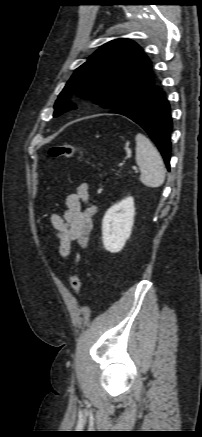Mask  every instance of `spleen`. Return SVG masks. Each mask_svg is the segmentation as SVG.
I'll return each mask as SVG.
<instances>
[{
    "label": "spleen",
    "instance_id": "obj_1",
    "mask_svg": "<svg viewBox=\"0 0 202 437\" xmlns=\"http://www.w3.org/2000/svg\"><path fill=\"white\" fill-rule=\"evenodd\" d=\"M136 140V163L140 168V181L147 187H160L165 180L163 160L150 140L138 133Z\"/></svg>",
    "mask_w": 202,
    "mask_h": 437
}]
</instances>
